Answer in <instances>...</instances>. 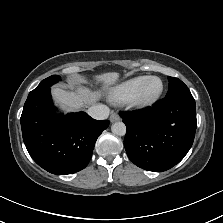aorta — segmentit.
Wrapping results in <instances>:
<instances>
[{"instance_id":"1","label":"aorta","mask_w":223,"mask_h":223,"mask_svg":"<svg viewBox=\"0 0 223 223\" xmlns=\"http://www.w3.org/2000/svg\"><path fill=\"white\" fill-rule=\"evenodd\" d=\"M111 131L116 135L123 136L126 133V126L123 122L118 121L112 124Z\"/></svg>"}]
</instances>
